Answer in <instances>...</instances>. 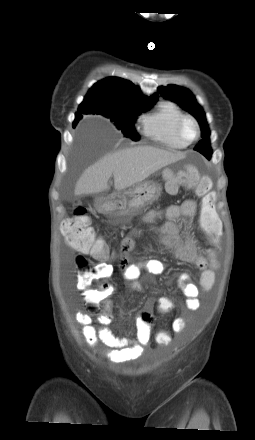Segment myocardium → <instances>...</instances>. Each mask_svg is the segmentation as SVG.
<instances>
[{"mask_svg":"<svg viewBox=\"0 0 255 440\" xmlns=\"http://www.w3.org/2000/svg\"><path fill=\"white\" fill-rule=\"evenodd\" d=\"M190 122L194 128H195V135L192 139H187L184 134H183V126L185 125V123ZM176 135L177 137L184 142L185 144L189 145L193 142H195L196 140L199 139L200 134H201V130H200V125L197 121V119L189 114H184L177 122L176 124Z\"/></svg>","mask_w":255,"mask_h":440,"instance_id":"myocardium-1","label":"myocardium"}]
</instances>
